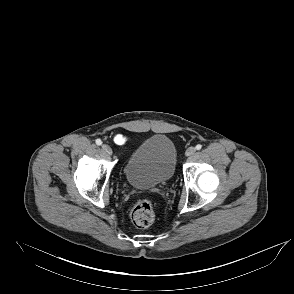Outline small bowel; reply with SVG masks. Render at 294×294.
I'll return each mask as SVG.
<instances>
[{
	"label": "small bowel",
	"instance_id": "small-bowel-1",
	"mask_svg": "<svg viewBox=\"0 0 294 294\" xmlns=\"http://www.w3.org/2000/svg\"><path fill=\"white\" fill-rule=\"evenodd\" d=\"M113 140L116 144L123 145L129 140V138L122 134H116Z\"/></svg>",
	"mask_w": 294,
	"mask_h": 294
}]
</instances>
